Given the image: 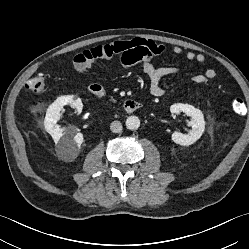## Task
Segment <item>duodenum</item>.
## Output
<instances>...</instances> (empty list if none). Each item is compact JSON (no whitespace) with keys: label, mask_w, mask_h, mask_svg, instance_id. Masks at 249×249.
Here are the masks:
<instances>
[{"label":"duodenum","mask_w":249,"mask_h":249,"mask_svg":"<svg viewBox=\"0 0 249 249\" xmlns=\"http://www.w3.org/2000/svg\"><path fill=\"white\" fill-rule=\"evenodd\" d=\"M89 92L93 96L98 97V98H102L106 94L105 90L102 87L93 86V85L89 87ZM143 107H144L143 103L140 101H136V100H126L123 104V108L126 113H133V112L139 111Z\"/></svg>","instance_id":"obj_1"}]
</instances>
